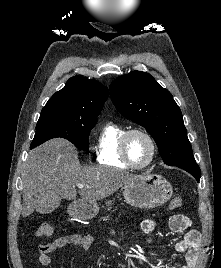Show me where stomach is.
<instances>
[{
  "mask_svg": "<svg viewBox=\"0 0 221 268\" xmlns=\"http://www.w3.org/2000/svg\"><path fill=\"white\" fill-rule=\"evenodd\" d=\"M172 194L171 183L157 174L134 176L123 186V196L127 203L143 209L165 204ZM106 204H111V201H107ZM68 212L76 219L89 220L98 214L99 206L94 201L78 200L69 206Z\"/></svg>",
  "mask_w": 221,
  "mask_h": 268,
  "instance_id": "obj_1",
  "label": "stomach"
}]
</instances>
